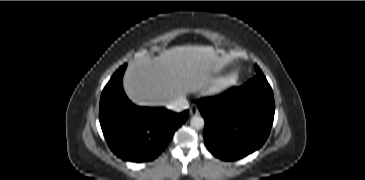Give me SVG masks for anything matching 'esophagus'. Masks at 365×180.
<instances>
[{"instance_id":"1","label":"esophagus","mask_w":365,"mask_h":180,"mask_svg":"<svg viewBox=\"0 0 365 180\" xmlns=\"http://www.w3.org/2000/svg\"><path fill=\"white\" fill-rule=\"evenodd\" d=\"M189 111L191 116L199 114V110L196 106H192Z\"/></svg>"}]
</instances>
